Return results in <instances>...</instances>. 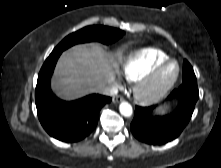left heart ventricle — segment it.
Wrapping results in <instances>:
<instances>
[{
  "mask_svg": "<svg viewBox=\"0 0 221 168\" xmlns=\"http://www.w3.org/2000/svg\"><path fill=\"white\" fill-rule=\"evenodd\" d=\"M174 70H175V66L174 65H169L167 66L161 76H160V81H165L167 80L173 73H174Z\"/></svg>",
  "mask_w": 221,
  "mask_h": 168,
  "instance_id": "left-heart-ventricle-1",
  "label": "left heart ventricle"
}]
</instances>
